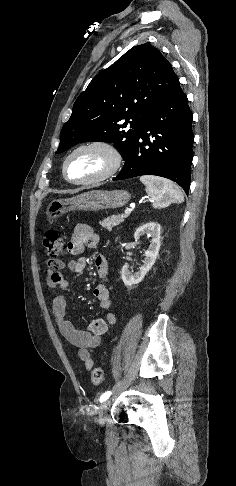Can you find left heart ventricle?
<instances>
[{"label": "left heart ventricle", "mask_w": 236, "mask_h": 486, "mask_svg": "<svg viewBox=\"0 0 236 486\" xmlns=\"http://www.w3.org/2000/svg\"><path fill=\"white\" fill-rule=\"evenodd\" d=\"M109 166V157L101 149H85L76 153L69 161L67 172L73 180L91 179L102 172Z\"/></svg>", "instance_id": "1"}]
</instances>
